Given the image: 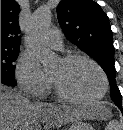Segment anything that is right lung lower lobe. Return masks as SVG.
I'll return each mask as SVG.
<instances>
[{
  "instance_id": "98d812e1",
  "label": "right lung lower lobe",
  "mask_w": 123,
  "mask_h": 130,
  "mask_svg": "<svg viewBox=\"0 0 123 130\" xmlns=\"http://www.w3.org/2000/svg\"><path fill=\"white\" fill-rule=\"evenodd\" d=\"M1 83L2 84H5V85H9V86H14V84L8 82V81H5V80H1Z\"/></svg>"
}]
</instances>
